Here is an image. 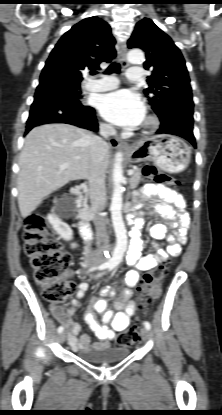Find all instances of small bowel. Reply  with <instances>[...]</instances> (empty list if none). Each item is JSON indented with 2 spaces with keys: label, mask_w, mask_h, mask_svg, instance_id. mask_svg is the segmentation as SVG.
I'll use <instances>...</instances> for the list:
<instances>
[{
  "label": "small bowel",
  "mask_w": 222,
  "mask_h": 415,
  "mask_svg": "<svg viewBox=\"0 0 222 415\" xmlns=\"http://www.w3.org/2000/svg\"><path fill=\"white\" fill-rule=\"evenodd\" d=\"M139 199L152 200L155 205L153 209H150L151 211H155L165 220L177 222L179 227L177 238L174 240L172 236L168 235L165 224L156 223L149 230V234L153 239L152 246L155 249V253L142 255L143 241L137 231L134 233L127 254V262L133 267L127 272L125 277L127 287L123 290L120 297L109 287H103L100 290L101 295L114 299V310L107 308V301L93 298L85 314V321L97 338L95 343H91V337L87 333L80 335L78 338L80 326L71 319L88 290L86 282L78 284L76 295L67 309L59 306L51 307L54 317L66 327L68 342L73 351L109 348L110 342L115 338L116 334L127 329L130 317L135 312L136 304L132 298V288L139 282V273L155 268L169 256H178L182 251V245L187 242L186 233L190 225V217L186 210V202L179 193L168 187L146 184L140 189ZM142 224L141 217H136V229L140 228ZM163 240L169 241L165 248H162L159 243ZM73 246L76 247V245ZM96 314L102 315L101 322L97 320Z\"/></svg>",
  "instance_id": "c3829d8e"
}]
</instances>
